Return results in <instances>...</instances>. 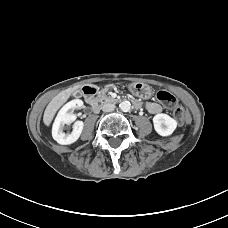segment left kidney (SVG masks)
Segmentation results:
<instances>
[{
    "label": "left kidney",
    "instance_id": "left-kidney-1",
    "mask_svg": "<svg viewBox=\"0 0 228 228\" xmlns=\"http://www.w3.org/2000/svg\"><path fill=\"white\" fill-rule=\"evenodd\" d=\"M155 131L161 136L171 135L177 127V122L167 114H157L153 117Z\"/></svg>",
    "mask_w": 228,
    "mask_h": 228
}]
</instances>
